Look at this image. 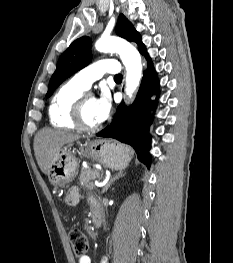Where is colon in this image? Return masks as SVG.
Returning a JSON list of instances; mask_svg holds the SVG:
<instances>
[{
  "mask_svg": "<svg viewBox=\"0 0 233 263\" xmlns=\"http://www.w3.org/2000/svg\"><path fill=\"white\" fill-rule=\"evenodd\" d=\"M69 239L74 256L78 259L84 257L88 251V240L85 234L80 230L72 229L69 231Z\"/></svg>",
  "mask_w": 233,
  "mask_h": 263,
  "instance_id": "5ec220e1",
  "label": "colon"
}]
</instances>
